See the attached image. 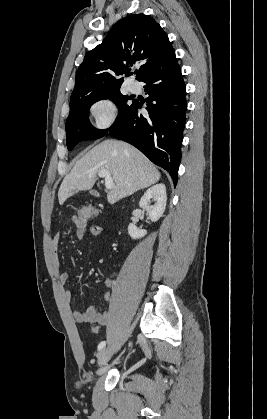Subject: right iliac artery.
Here are the masks:
<instances>
[{"label": "right iliac artery", "instance_id": "82829eb1", "mask_svg": "<svg viewBox=\"0 0 267 419\" xmlns=\"http://www.w3.org/2000/svg\"><path fill=\"white\" fill-rule=\"evenodd\" d=\"M105 345H106L105 341L100 342L99 345H98V350L99 351L102 350L105 347Z\"/></svg>", "mask_w": 267, "mask_h": 419}]
</instances>
